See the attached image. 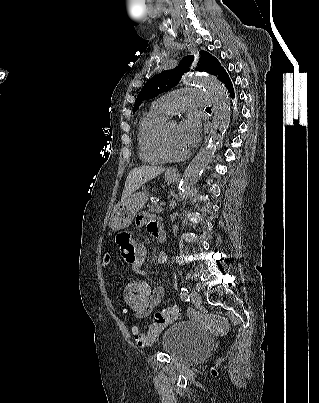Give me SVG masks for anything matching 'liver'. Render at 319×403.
Segmentation results:
<instances>
[{"mask_svg": "<svg viewBox=\"0 0 319 403\" xmlns=\"http://www.w3.org/2000/svg\"><path fill=\"white\" fill-rule=\"evenodd\" d=\"M165 171L164 167L141 166L132 169L126 179L125 188L122 192L121 202L129 198L147 181L157 177Z\"/></svg>", "mask_w": 319, "mask_h": 403, "instance_id": "obj_1", "label": "liver"}]
</instances>
